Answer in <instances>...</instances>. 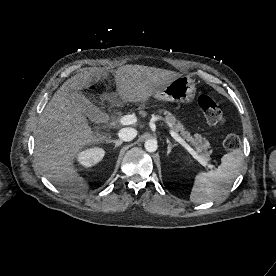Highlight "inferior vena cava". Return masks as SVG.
Masks as SVG:
<instances>
[{
  "label": "inferior vena cava",
  "mask_w": 276,
  "mask_h": 276,
  "mask_svg": "<svg viewBox=\"0 0 276 276\" xmlns=\"http://www.w3.org/2000/svg\"><path fill=\"white\" fill-rule=\"evenodd\" d=\"M136 135H137V130L130 127L122 128L118 133L119 138L125 142H129L133 140L136 137Z\"/></svg>",
  "instance_id": "obj_1"
}]
</instances>
